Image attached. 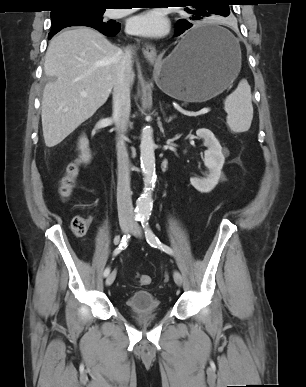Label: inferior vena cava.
<instances>
[{
	"instance_id": "1",
	"label": "inferior vena cava",
	"mask_w": 306,
	"mask_h": 387,
	"mask_svg": "<svg viewBox=\"0 0 306 387\" xmlns=\"http://www.w3.org/2000/svg\"><path fill=\"white\" fill-rule=\"evenodd\" d=\"M133 54L132 48H127L123 53L113 87L112 116L119 133L116 148L118 161L117 207L120 222L134 221L130 189V162L125 146L126 137L124 136L131 110L130 87L133 79Z\"/></svg>"
}]
</instances>
